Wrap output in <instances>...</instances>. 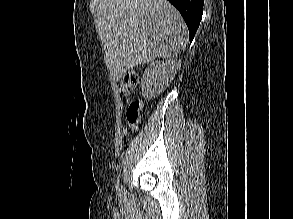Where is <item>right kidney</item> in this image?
Wrapping results in <instances>:
<instances>
[{"label": "right kidney", "instance_id": "1", "mask_svg": "<svg viewBox=\"0 0 293 219\" xmlns=\"http://www.w3.org/2000/svg\"><path fill=\"white\" fill-rule=\"evenodd\" d=\"M181 60L169 59L151 63L141 79V92L145 99H152L162 93L174 79Z\"/></svg>", "mask_w": 293, "mask_h": 219}]
</instances>
